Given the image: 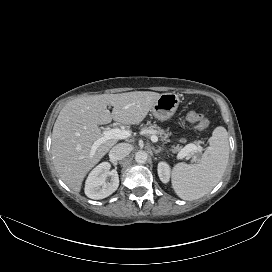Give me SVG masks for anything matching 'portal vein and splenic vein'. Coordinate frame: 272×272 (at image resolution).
Returning <instances> with one entry per match:
<instances>
[{
  "label": "portal vein and splenic vein",
  "instance_id": "obj_1",
  "mask_svg": "<svg viewBox=\"0 0 272 272\" xmlns=\"http://www.w3.org/2000/svg\"><path fill=\"white\" fill-rule=\"evenodd\" d=\"M102 133H103V136L101 138H99L97 141H95V143L93 144L92 149H91V153H94L96 151V149L99 147V145L102 144L106 140L126 139L131 136L130 131L121 130L119 128L104 130ZM150 139L154 143L158 142V137L156 135H152ZM192 151L197 153V152L201 151V149L194 144H189L181 152L178 153L177 158L183 159L186 156H188ZM195 160H196V157L194 156L192 159V162Z\"/></svg>",
  "mask_w": 272,
  "mask_h": 272
}]
</instances>
